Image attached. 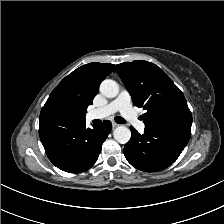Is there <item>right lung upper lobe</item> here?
I'll use <instances>...</instances> for the list:
<instances>
[{"instance_id": "1", "label": "right lung upper lobe", "mask_w": 224, "mask_h": 224, "mask_svg": "<svg viewBox=\"0 0 224 224\" xmlns=\"http://www.w3.org/2000/svg\"><path fill=\"white\" fill-rule=\"evenodd\" d=\"M113 67V64L98 62L83 65L65 77L51 94L58 93L69 97L86 113L100 83L112 72Z\"/></svg>"}]
</instances>
